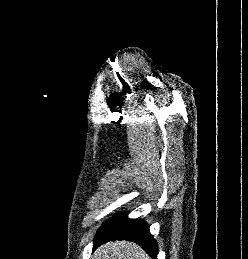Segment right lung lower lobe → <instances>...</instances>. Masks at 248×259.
<instances>
[{"instance_id": "98d812e1", "label": "right lung lower lobe", "mask_w": 248, "mask_h": 259, "mask_svg": "<svg viewBox=\"0 0 248 259\" xmlns=\"http://www.w3.org/2000/svg\"><path fill=\"white\" fill-rule=\"evenodd\" d=\"M112 240H128L138 243L153 259H157V243L152 238L148 225L142 220L129 219L125 214L116 215L105 222L98 231L94 240V249Z\"/></svg>"}]
</instances>
